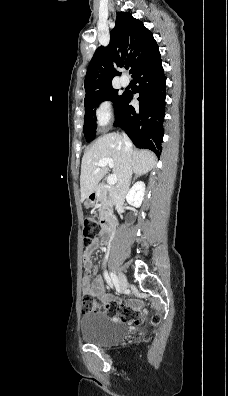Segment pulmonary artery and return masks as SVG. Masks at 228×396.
Wrapping results in <instances>:
<instances>
[{"label":"pulmonary artery","mask_w":228,"mask_h":396,"mask_svg":"<svg viewBox=\"0 0 228 396\" xmlns=\"http://www.w3.org/2000/svg\"><path fill=\"white\" fill-rule=\"evenodd\" d=\"M120 82H121V85H122V86L126 87V86L129 85L130 80H129V78H128L127 76L123 75V76L120 78Z\"/></svg>","instance_id":"obj_1"}]
</instances>
